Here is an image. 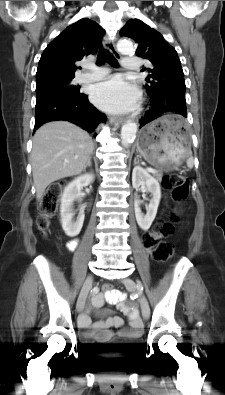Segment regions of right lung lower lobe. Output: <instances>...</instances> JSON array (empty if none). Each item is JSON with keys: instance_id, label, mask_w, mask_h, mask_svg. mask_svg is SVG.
Returning a JSON list of instances; mask_svg holds the SVG:
<instances>
[{"instance_id": "1", "label": "right lung lower lobe", "mask_w": 225, "mask_h": 395, "mask_svg": "<svg viewBox=\"0 0 225 395\" xmlns=\"http://www.w3.org/2000/svg\"><path fill=\"white\" fill-rule=\"evenodd\" d=\"M55 120L70 121L93 132L100 122L106 121V116L89 103L85 94H61L36 106L34 131Z\"/></svg>"}]
</instances>
